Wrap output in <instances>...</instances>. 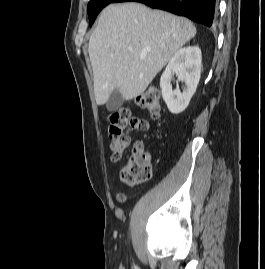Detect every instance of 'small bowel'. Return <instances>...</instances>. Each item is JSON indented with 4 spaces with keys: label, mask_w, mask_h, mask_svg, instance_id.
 Returning a JSON list of instances; mask_svg holds the SVG:
<instances>
[{
    "label": "small bowel",
    "mask_w": 265,
    "mask_h": 269,
    "mask_svg": "<svg viewBox=\"0 0 265 269\" xmlns=\"http://www.w3.org/2000/svg\"><path fill=\"white\" fill-rule=\"evenodd\" d=\"M144 123H145V127L143 128L142 131H146V130L149 129V124H148V122H147L146 120H144ZM109 148H110V150H111V152H112L111 160H112V161H118V160L121 158L122 153H123V151L125 150L126 147H123V146L120 144L119 141H117V140H112V141L110 142V144H109ZM115 196H116V199H117L119 202H121V203L125 202V200H126V196H125L124 194H122V193H119V192H118V193H116Z\"/></svg>",
    "instance_id": "1"
}]
</instances>
